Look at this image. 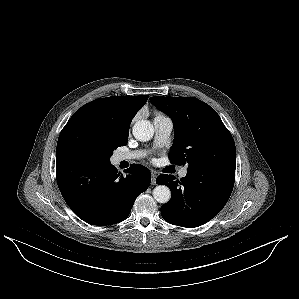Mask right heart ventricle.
I'll list each match as a JSON object with an SVG mask.
<instances>
[{"instance_id":"1","label":"right heart ventricle","mask_w":299,"mask_h":299,"mask_svg":"<svg viewBox=\"0 0 299 299\" xmlns=\"http://www.w3.org/2000/svg\"><path fill=\"white\" fill-rule=\"evenodd\" d=\"M160 115H162L161 113H156V116H160Z\"/></svg>"}]
</instances>
